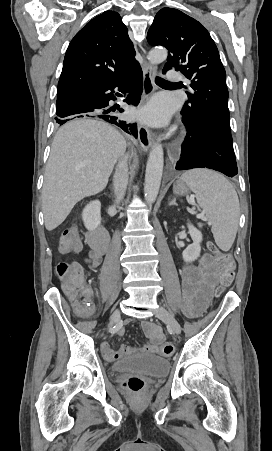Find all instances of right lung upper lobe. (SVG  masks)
Here are the masks:
<instances>
[{"label": "right lung upper lobe", "instance_id": "right-lung-upper-lobe-1", "mask_svg": "<svg viewBox=\"0 0 272 451\" xmlns=\"http://www.w3.org/2000/svg\"><path fill=\"white\" fill-rule=\"evenodd\" d=\"M120 15L106 11L81 29L70 42L57 96L96 85L112 84L138 62Z\"/></svg>", "mask_w": 272, "mask_h": 451}]
</instances>
